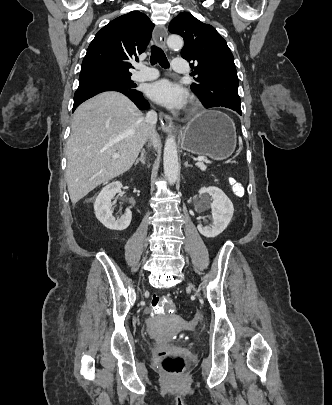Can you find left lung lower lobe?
Listing matches in <instances>:
<instances>
[{
	"label": "left lung lower lobe",
	"mask_w": 332,
	"mask_h": 405,
	"mask_svg": "<svg viewBox=\"0 0 332 405\" xmlns=\"http://www.w3.org/2000/svg\"><path fill=\"white\" fill-rule=\"evenodd\" d=\"M236 112H238L239 114H241V113H242L241 111H236Z\"/></svg>",
	"instance_id": "obj_1"
}]
</instances>
